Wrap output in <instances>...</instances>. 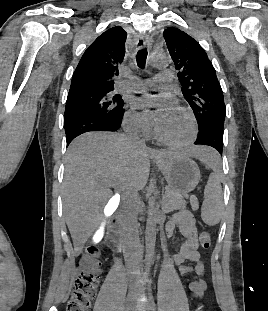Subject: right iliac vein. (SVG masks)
Returning <instances> with one entry per match:
<instances>
[{
    "label": "right iliac vein",
    "instance_id": "obj_1",
    "mask_svg": "<svg viewBox=\"0 0 268 311\" xmlns=\"http://www.w3.org/2000/svg\"><path fill=\"white\" fill-rule=\"evenodd\" d=\"M136 295H137L136 289H131L129 291L127 299H126L125 311H133L134 299H135Z\"/></svg>",
    "mask_w": 268,
    "mask_h": 311
}]
</instances>
